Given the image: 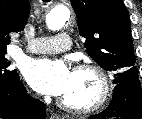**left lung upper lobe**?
Here are the masks:
<instances>
[{"label": "left lung upper lobe", "mask_w": 142, "mask_h": 119, "mask_svg": "<svg viewBox=\"0 0 142 119\" xmlns=\"http://www.w3.org/2000/svg\"><path fill=\"white\" fill-rule=\"evenodd\" d=\"M86 52L114 84L138 80L129 12L122 0H71Z\"/></svg>", "instance_id": "left-lung-upper-lobe-1"}]
</instances>
